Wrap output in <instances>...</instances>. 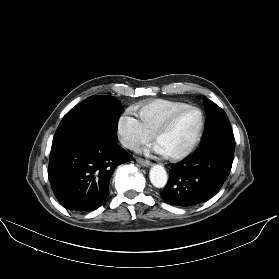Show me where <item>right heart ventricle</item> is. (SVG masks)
Segmentation results:
<instances>
[{
    "label": "right heart ventricle",
    "instance_id": "1",
    "mask_svg": "<svg viewBox=\"0 0 279 279\" xmlns=\"http://www.w3.org/2000/svg\"><path fill=\"white\" fill-rule=\"evenodd\" d=\"M186 105L188 104L168 99H152L138 103L132 109L146 131L153 135L172 112Z\"/></svg>",
    "mask_w": 279,
    "mask_h": 279
}]
</instances>
